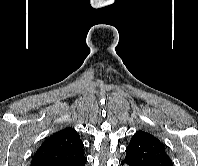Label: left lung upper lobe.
Listing matches in <instances>:
<instances>
[{
  "label": "left lung upper lobe",
  "mask_w": 198,
  "mask_h": 166,
  "mask_svg": "<svg viewBox=\"0 0 198 166\" xmlns=\"http://www.w3.org/2000/svg\"><path fill=\"white\" fill-rule=\"evenodd\" d=\"M124 160L133 166H173L160 140L142 130L131 138Z\"/></svg>",
  "instance_id": "1"
}]
</instances>
